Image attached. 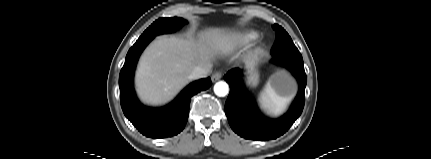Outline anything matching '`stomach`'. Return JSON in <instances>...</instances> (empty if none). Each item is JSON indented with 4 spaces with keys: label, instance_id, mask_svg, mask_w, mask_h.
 Masks as SVG:
<instances>
[{
    "label": "stomach",
    "instance_id": "0dacf381",
    "mask_svg": "<svg viewBox=\"0 0 431 159\" xmlns=\"http://www.w3.org/2000/svg\"><path fill=\"white\" fill-rule=\"evenodd\" d=\"M257 79V74L251 73L248 77V84L255 85L257 83ZM269 84L276 91V93L281 96L291 97L296 91L295 81L284 73L274 74L270 78Z\"/></svg>",
    "mask_w": 431,
    "mask_h": 159
}]
</instances>
